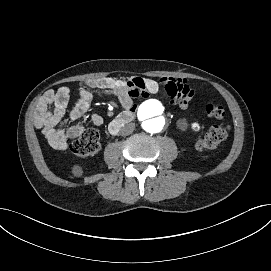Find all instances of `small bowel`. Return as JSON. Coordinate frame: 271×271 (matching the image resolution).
<instances>
[{
    "label": "small bowel",
    "mask_w": 271,
    "mask_h": 271,
    "mask_svg": "<svg viewBox=\"0 0 271 271\" xmlns=\"http://www.w3.org/2000/svg\"><path fill=\"white\" fill-rule=\"evenodd\" d=\"M92 89L104 94L118 97L124 108H134V101L146 99L163 90L164 98L172 105L182 109L188 107L195 91L186 80L161 78L147 79L141 77L91 78L85 81V86L78 91V101L68 110L70 89L60 87L57 90H48L39 99L35 110V125L41 130L47 142L55 149L67 148L70 139L81 136L86 128L83 125L64 126V122L76 121L83 117L89 110L93 100ZM90 122L93 126H100L103 118L99 114H92Z\"/></svg>",
    "instance_id": "obj_1"
}]
</instances>
